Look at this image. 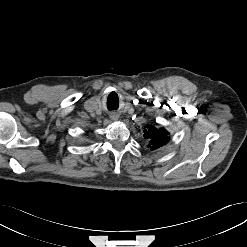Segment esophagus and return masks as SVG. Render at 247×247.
<instances>
[{"label": "esophagus", "instance_id": "34e87169", "mask_svg": "<svg viewBox=\"0 0 247 247\" xmlns=\"http://www.w3.org/2000/svg\"><path fill=\"white\" fill-rule=\"evenodd\" d=\"M110 118H111L112 120H118L119 116H118L117 114L113 113V114L110 116Z\"/></svg>", "mask_w": 247, "mask_h": 247}]
</instances>
